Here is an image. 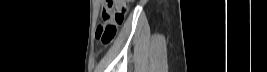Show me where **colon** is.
I'll return each mask as SVG.
<instances>
[{
  "label": "colon",
  "instance_id": "5ec220e1",
  "mask_svg": "<svg viewBox=\"0 0 267 72\" xmlns=\"http://www.w3.org/2000/svg\"><path fill=\"white\" fill-rule=\"evenodd\" d=\"M132 0H106L104 11L107 16L102 18L103 22L99 23L95 37L102 44H109L113 41L117 34L118 26L128 10Z\"/></svg>",
  "mask_w": 267,
  "mask_h": 72
}]
</instances>
